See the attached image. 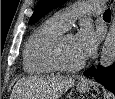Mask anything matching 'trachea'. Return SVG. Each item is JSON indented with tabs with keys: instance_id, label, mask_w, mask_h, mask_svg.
<instances>
[{
	"instance_id": "obj_1",
	"label": "trachea",
	"mask_w": 115,
	"mask_h": 99,
	"mask_svg": "<svg viewBox=\"0 0 115 99\" xmlns=\"http://www.w3.org/2000/svg\"><path fill=\"white\" fill-rule=\"evenodd\" d=\"M103 17H107V18H110V17H111V11H110V9H107V10L104 12Z\"/></svg>"
}]
</instances>
